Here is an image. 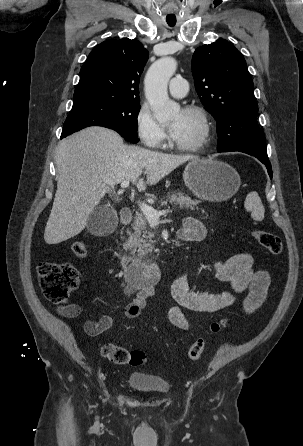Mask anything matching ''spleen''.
<instances>
[{
    "mask_svg": "<svg viewBox=\"0 0 303 446\" xmlns=\"http://www.w3.org/2000/svg\"><path fill=\"white\" fill-rule=\"evenodd\" d=\"M244 207L251 212V217L254 220L262 221L264 219L265 209L256 191H252L246 196Z\"/></svg>",
    "mask_w": 303,
    "mask_h": 446,
    "instance_id": "obj_1",
    "label": "spleen"
}]
</instances>
